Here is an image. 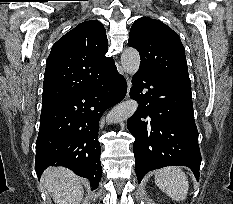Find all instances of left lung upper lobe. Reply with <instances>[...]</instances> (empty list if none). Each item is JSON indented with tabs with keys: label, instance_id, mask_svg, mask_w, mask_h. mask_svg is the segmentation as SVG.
Wrapping results in <instances>:
<instances>
[{
	"label": "left lung upper lobe",
	"instance_id": "obj_1",
	"mask_svg": "<svg viewBox=\"0 0 233 204\" xmlns=\"http://www.w3.org/2000/svg\"><path fill=\"white\" fill-rule=\"evenodd\" d=\"M128 45L140 54L139 71L191 86L181 40L164 23L149 17L139 18L131 27Z\"/></svg>",
	"mask_w": 233,
	"mask_h": 204
}]
</instances>
